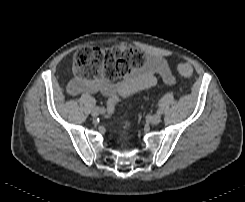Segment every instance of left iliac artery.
I'll list each match as a JSON object with an SVG mask.
<instances>
[{"instance_id": "44dca946", "label": "left iliac artery", "mask_w": 245, "mask_h": 202, "mask_svg": "<svg viewBox=\"0 0 245 202\" xmlns=\"http://www.w3.org/2000/svg\"><path fill=\"white\" fill-rule=\"evenodd\" d=\"M157 113H158L159 115L162 114L161 109H158V110H157Z\"/></svg>"}]
</instances>
